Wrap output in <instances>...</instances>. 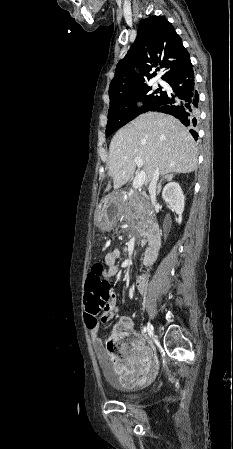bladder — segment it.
<instances>
[{
	"instance_id": "1",
	"label": "bladder",
	"mask_w": 233,
	"mask_h": 449,
	"mask_svg": "<svg viewBox=\"0 0 233 449\" xmlns=\"http://www.w3.org/2000/svg\"><path fill=\"white\" fill-rule=\"evenodd\" d=\"M113 387L115 388L117 395H119L120 397H122L126 401H131V400H134L136 398L134 393H132L131 391H129V390L125 389V388H123L119 384L113 383Z\"/></svg>"
}]
</instances>
